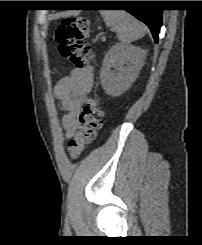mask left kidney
<instances>
[{"mask_svg":"<svg viewBox=\"0 0 202 245\" xmlns=\"http://www.w3.org/2000/svg\"><path fill=\"white\" fill-rule=\"evenodd\" d=\"M145 55L143 49L134 45L117 43L112 46L104 58L100 73L105 93L118 97L128 90L143 66Z\"/></svg>","mask_w":202,"mask_h":245,"instance_id":"obj_1","label":"left kidney"}]
</instances>
